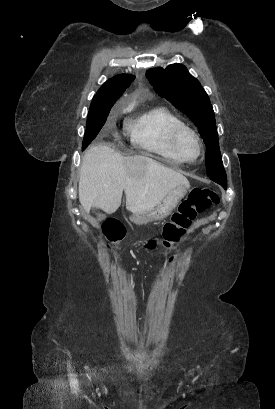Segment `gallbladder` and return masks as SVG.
<instances>
[{"mask_svg": "<svg viewBox=\"0 0 275 409\" xmlns=\"http://www.w3.org/2000/svg\"><path fill=\"white\" fill-rule=\"evenodd\" d=\"M92 211H96L95 207H92ZM97 215V221H104L105 215H102V213H96Z\"/></svg>", "mask_w": 275, "mask_h": 409, "instance_id": "1", "label": "gallbladder"}]
</instances>
